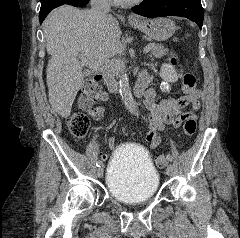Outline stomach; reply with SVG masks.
<instances>
[{"label":"stomach","mask_w":240,"mask_h":238,"mask_svg":"<svg viewBox=\"0 0 240 238\" xmlns=\"http://www.w3.org/2000/svg\"><path fill=\"white\" fill-rule=\"evenodd\" d=\"M131 25L156 41H164L176 31L174 21L168 18L140 19Z\"/></svg>","instance_id":"0dacf381"}]
</instances>
